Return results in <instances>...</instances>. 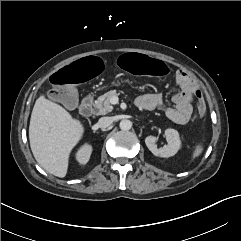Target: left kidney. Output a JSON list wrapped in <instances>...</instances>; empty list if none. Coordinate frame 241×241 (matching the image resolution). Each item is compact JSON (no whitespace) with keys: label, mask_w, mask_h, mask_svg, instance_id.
I'll use <instances>...</instances> for the list:
<instances>
[{"label":"left kidney","mask_w":241,"mask_h":241,"mask_svg":"<svg viewBox=\"0 0 241 241\" xmlns=\"http://www.w3.org/2000/svg\"><path fill=\"white\" fill-rule=\"evenodd\" d=\"M165 138L167 141V145L163 148H157L155 136H147L145 138V144L148 149L155 155L159 157L168 158L174 156L177 151L180 149L181 141L179 134L174 129H166L165 130Z\"/></svg>","instance_id":"left-kidney-1"}]
</instances>
